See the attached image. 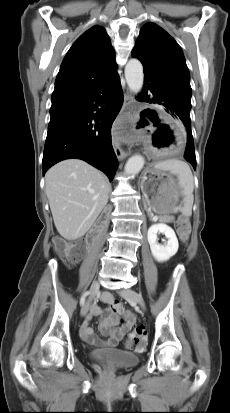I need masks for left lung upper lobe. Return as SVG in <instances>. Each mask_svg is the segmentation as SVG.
Segmentation results:
<instances>
[{
    "instance_id": "left-lung-upper-lobe-1",
    "label": "left lung upper lobe",
    "mask_w": 230,
    "mask_h": 413,
    "mask_svg": "<svg viewBox=\"0 0 230 413\" xmlns=\"http://www.w3.org/2000/svg\"><path fill=\"white\" fill-rule=\"evenodd\" d=\"M132 56L144 71L155 75L164 88L191 107L190 74L181 47L164 29L148 22L140 30Z\"/></svg>"
}]
</instances>
